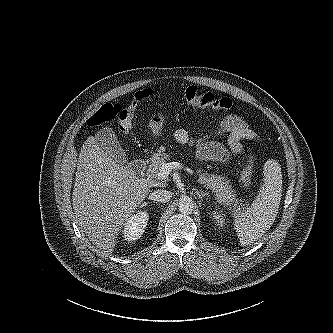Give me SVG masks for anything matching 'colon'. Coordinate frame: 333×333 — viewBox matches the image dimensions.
<instances>
[{
  "instance_id": "obj_1",
  "label": "colon",
  "mask_w": 333,
  "mask_h": 333,
  "mask_svg": "<svg viewBox=\"0 0 333 333\" xmlns=\"http://www.w3.org/2000/svg\"><path fill=\"white\" fill-rule=\"evenodd\" d=\"M153 95L154 92L152 89H144L134 95L132 102L128 106L121 104H105L90 118L89 126L97 128L115 123L121 131L129 132L134 124L138 104L151 98ZM183 98L187 104L197 108L227 110L232 106L230 99L217 97L212 92L200 90L195 86L187 87L184 90ZM252 168L253 161L252 158L248 156L241 170V181L245 186L250 184Z\"/></svg>"
}]
</instances>
